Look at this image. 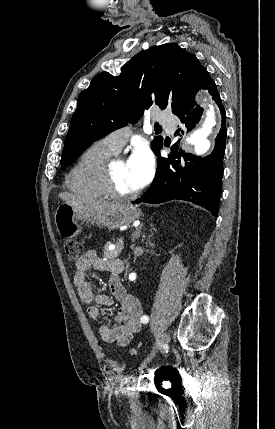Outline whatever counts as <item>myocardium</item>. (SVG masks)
Here are the masks:
<instances>
[{"instance_id": "1", "label": "myocardium", "mask_w": 275, "mask_h": 429, "mask_svg": "<svg viewBox=\"0 0 275 429\" xmlns=\"http://www.w3.org/2000/svg\"><path fill=\"white\" fill-rule=\"evenodd\" d=\"M114 161L115 160L107 162L105 167V190L107 195L111 198L121 199V200L135 198L136 196H138L140 192L139 190H136L132 193H123L118 190L115 183L113 167H112Z\"/></svg>"}]
</instances>
